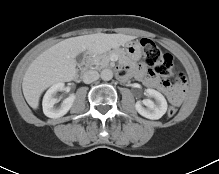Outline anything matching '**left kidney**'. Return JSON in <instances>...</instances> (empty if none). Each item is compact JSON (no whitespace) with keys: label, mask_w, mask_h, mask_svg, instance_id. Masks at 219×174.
Returning <instances> with one entry per match:
<instances>
[{"label":"left kidney","mask_w":219,"mask_h":174,"mask_svg":"<svg viewBox=\"0 0 219 174\" xmlns=\"http://www.w3.org/2000/svg\"><path fill=\"white\" fill-rule=\"evenodd\" d=\"M147 96L153 97L155 102L150 99H144L142 102H136L137 112L145 118L157 120L160 119L167 111V101L165 97L154 89L146 90ZM145 105L147 108L142 106Z\"/></svg>","instance_id":"5707ae66"}]
</instances>
